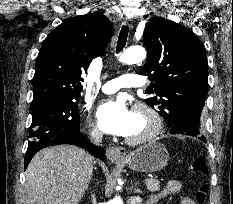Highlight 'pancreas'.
<instances>
[{
    "label": "pancreas",
    "mask_w": 233,
    "mask_h": 204,
    "mask_svg": "<svg viewBox=\"0 0 233 204\" xmlns=\"http://www.w3.org/2000/svg\"><path fill=\"white\" fill-rule=\"evenodd\" d=\"M160 187V182L157 179H149L146 181V188L149 192L159 191Z\"/></svg>",
    "instance_id": "obj_1"
}]
</instances>
